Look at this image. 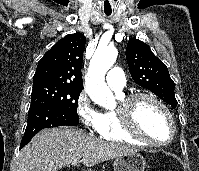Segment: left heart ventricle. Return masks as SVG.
<instances>
[{"label": "left heart ventricle", "mask_w": 199, "mask_h": 171, "mask_svg": "<svg viewBox=\"0 0 199 171\" xmlns=\"http://www.w3.org/2000/svg\"><path fill=\"white\" fill-rule=\"evenodd\" d=\"M135 117L140 131L156 142L170 138L171 127L164 111L153 101L141 99L135 107Z\"/></svg>", "instance_id": "1"}]
</instances>
